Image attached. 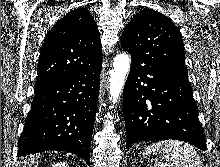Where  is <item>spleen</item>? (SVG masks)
<instances>
[{
  "label": "spleen",
  "mask_w": 220,
  "mask_h": 167,
  "mask_svg": "<svg viewBox=\"0 0 220 167\" xmlns=\"http://www.w3.org/2000/svg\"><path fill=\"white\" fill-rule=\"evenodd\" d=\"M162 151V159L171 162L172 167H202V160L193 146L178 140H164L152 143L146 147L143 155L149 156L152 152ZM157 162V161H156ZM157 162L154 167H165ZM152 167V166H151Z\"/></svg>",
  "instance_id": "1"
}]
</instances>
